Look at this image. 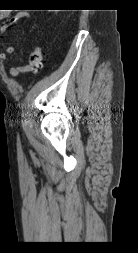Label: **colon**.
Masks as SVG:
<instances>
[{
    "label": "colon",
    "instance_id": "1",
    "mask_svg": "<svg viewBox=\"0 0 138 253\" xmlns=\"http://www.w3.org/2000/svg\"><path fill=\"white\" fill-rule=\"evenodd\" d=\"M43 57H44V52L41 47H36L34 48L28 57V62L26 66L23 68L25 72H30L34 73L36 72L39 68L42 67L43 64Z\"/></svg>",
    "mask_w": 138,
    "mask_h": 253
}]
</instances>
